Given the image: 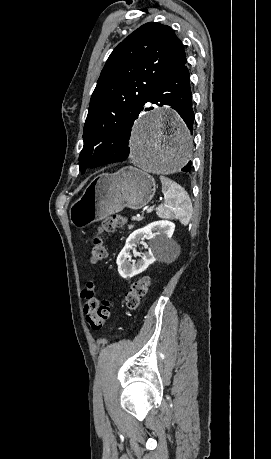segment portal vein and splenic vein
<instances>
[{"label": "portal vein and splenic vein", "mask_w": 271, "mask_h": 459, "mask_svg": "<svg viewBox=\"0 0 271 459\" xmlns=\"http://www.w3.org/2000/svg\"><path fill=\"white\" fill-rule=\"evenodd\" d=\"M153 208H149V210H147V212H152Z\"/></svg>", "instance_id": "1"}]
</instances>
